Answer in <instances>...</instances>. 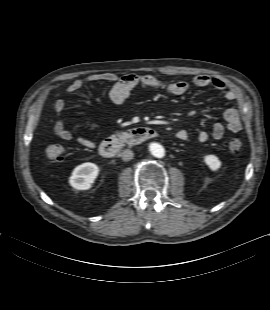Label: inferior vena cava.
<instances>
[{"label":"inferior vena cava","mask_w":270,"mask_h":310,"mask_svg":"<svg viewBox=\"0 0 270 310\" xmlns=\"http://www.w3.org/2000/svg\"><path fill=\"white\" fill-rule=\"evenodd\" d=\"M133 156H134L133 152L129 149H125L121 153V157L123 161H129L133 158Z\"/></svg>","instance_id":"obj_1"}]
</instances>
